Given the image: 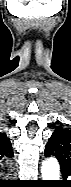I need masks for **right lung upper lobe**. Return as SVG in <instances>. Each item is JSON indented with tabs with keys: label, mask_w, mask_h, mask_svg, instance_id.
<instances>
[{
	"label": "right lung upper lobe",
	"mask_w": 71,
	"mask_h": 187,
	"mask_svg": "<svg viewBox=\"0 0 71 187\" xmlns=\"http://www.w3.org/2000/svg\"><path fill=\"white\" fill-rule=\"evenodd\" d=\"M0 156L1 158H12L13 150L9 138L5 133H0Z\"/></svg>",
	"instance_id": "obj_1"
}]
</instances>
